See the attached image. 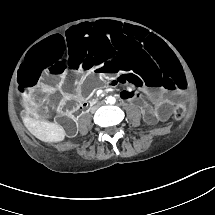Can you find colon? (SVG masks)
I'll return each instance as SVG.
<instances>
[{"mask_svg": "<svg viewBox=\"0 0 215 215\" xmlns=\"http://www.w3.org/2000/svg\"><path fill=\"white\" fill-rule=\"evenodd\" d=\"M184 111H185L184 107H178L174 112L175 120H177V121L181 120L184 115Z\"/></svg>", "mask_w": 215, "mask_h": 215, "instance_id": "5ec220e1", "label": "colon"}]
</instances>
